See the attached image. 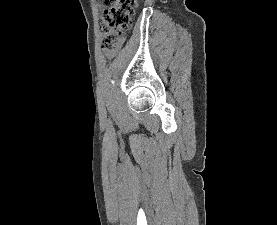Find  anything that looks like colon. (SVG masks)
Returning <instances> with one entry per match:
<instances>
[{"label": "colon", "instance_id": "1", "mask_svg": "<svg viewBox=\"0 0 277 225\" xmlns=\"http://www.w3.org/2000/svg\"><path fill=\"white\" fill-rule=\"evenodd\" d=\"M137 0H101L102 14L98 25L100 48L106 53L117 51L122 44V33L131 25Z\"/></svg>", "mask_w": 277, "mask_h": 225}]
</instances>
